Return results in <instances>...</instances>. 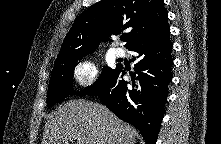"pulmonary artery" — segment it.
Returning <instances> with one entry per match:
<instances>
[{"mask_svg": "<svg viewBox=\"0 0 221 144\" xmlns=\"http://www.w3.org/2000/svg\"><path fill=\"white\" fill-rule=\"evenodd\" d=\"M114 54L116 57H123L125 55V51L122 48L117 47L114 49Z\"/></svg>", "mask_w": 221, "mask_h": 144, "instance_id": "obj_1", "label": "pulmonary artery"}]
</instances>
